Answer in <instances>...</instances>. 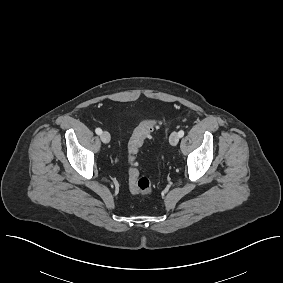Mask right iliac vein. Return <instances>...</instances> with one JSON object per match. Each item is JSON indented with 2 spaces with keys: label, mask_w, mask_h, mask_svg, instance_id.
Wrapping results in <instances>:
<instances>
[{
  "label": "right iliac vein",
  "mask_w": 283,
  "mask_h": 283,
  "mask_svg": "<svg viewBox=\"0 0 283 283\" xmlns=\"http://www.w3.org/2000/svg\"><path fill=\"white\" fill-rule=\"evenodd\" d=\"M100 137L103 143L107 144L110 142L111 137L107 131L102 132Z\"/></svg>",
  "instance_id": "1"
}]
</instances>
